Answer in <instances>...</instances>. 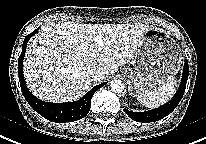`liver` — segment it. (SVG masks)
<instances>
[{
  "label": "liver",
  "mask_w": 206,
  "mask_h": 144,
  "mask_svg": "<svg viewBox=\"0 0 206 144\" xmlns=\"http://www.w3.org/2000/svg\"><path fill=\"white\" fill-rule=\"evenodd\" d=\"M148 27L134 24H80L62 22L42 27L30 40L24 60L29 90L49 102H67L82 97L96 82L89 68L101 71V80L129 63ZM102 36L103 46L96 37Z\"/></svg>",
  "instance_id": "1"
}]
</instances>
